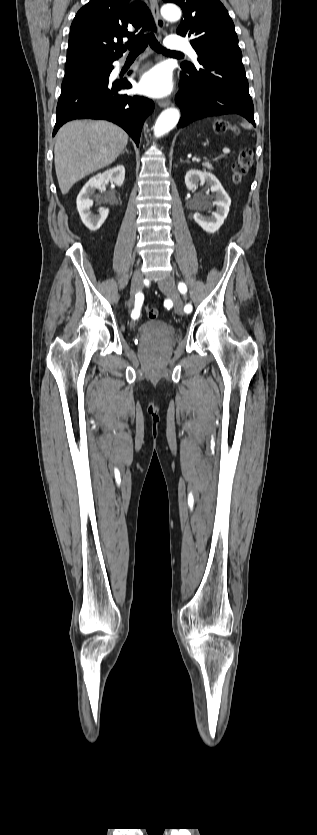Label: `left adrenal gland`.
Returning <instances> with one entry per match:
<instances>
[{"label": "left adrenal gland", "instance_id": "1", "mask_svg": "<svg viewBox=\"0 0 317 835\" xmlns=\"http://www.w3.org/2000/svg\"><path fill=\"white\" fill-rule=\"evenodd\" d=\"M182 162H189V160L184 161V160L180 159V163H182Z\"/></svg>", "mask_w": 317, "mask_h": 835}]
</instances>
